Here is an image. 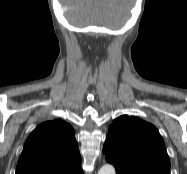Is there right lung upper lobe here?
<instances>
[{"instance_id": "right-lung-upper-lobe-1", "label": "right lung upper lobe", "mask_w": 187, "mask_h": 174, "mask_svg": "<svg viewBox=\"0 0 187 174\" xmlns=\"http://www.w3.org/2000/svg\"><path fill=\"white\" fill-rule=\"evenodd\" d=\"M16 174H83L71 125L62 120L39 125L25 142Z\"/></svg>"}]
</instances>
